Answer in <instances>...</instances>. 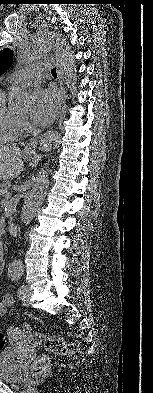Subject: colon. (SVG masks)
<instances>
[{
	"mask_svg": "<svg viewBox=\"0 0 153 393\" xmlns=\"http://www.w3.org/2000/svg\"><path fill=\"white\" fill-rule=\"evenodd\" d=\"M24 335L30 341L31 344L42 347L47 352L56 356H67L71 359H76L80 355V348L75 343H68L62 338L56 336H47L42 334H32L29 326H24ZM13 334L17 333L13 328L11 329ZM6 338L0 333V351L5 348ZM50 361L46 357H42L37 360L33 369L36 375H42L45 373Z\"/></svg>",
	"mask_w": 153,
	"mask_h": 393,
	"instance_id": "obj_1",
	"label": "colon"
}]
</instances>
